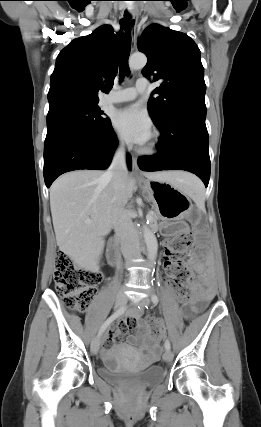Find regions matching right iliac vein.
Returning <instances> with one entry per match:
<instances>
[{"label":"right iliac vein","instance_id":"obj_1","mask_svg":"<svg viewBox=\"0 0 261 427\" xmlns=\"http://www.w3.org/2000/svg\"><path fill=\"white\" fill-rule=\"evenodd\" d=\"M126 302H127V296L125 295V293L119 292L116 296L115 307L121 308L126 304ZM99 346H100V337L96 336L91 342V351L93 354L98 353Z\"/></svg>","mask_w":261,"mask_h":427}]
</instances>
